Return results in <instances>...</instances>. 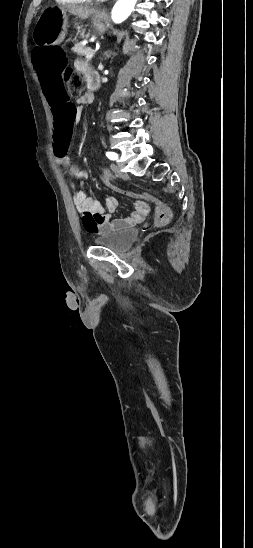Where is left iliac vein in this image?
<instances>
[{
	"label": "left iliac vein",
	"instance_id": "left-iliac-vein-1",
	"mask_svg": "<svg viewBox=\"0 0 253 548\" xmlns=\"http://www.w3.org/2000/svg\"><path fill=\"white\" fill-rule=\"evenodd\" d=\"M111 168H112L113 172H114L117 176H119V177H121V178H123V179L127 178V174L123 173V172L121 171V168H120L118 165L112 164V165H111Z\"/></svg>",
	"mask_w": 253,
	"mask_h": 548
}]
</instances>
